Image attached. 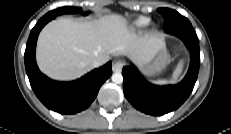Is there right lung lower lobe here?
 I'll return each instance as SVG.
<instances>
[{"instance_id": "1", "label": "right lung lower lobe", "mask_w": 231, "mask_h": 134, "mask_svg": "<svg viewBox=\"0 0 231 134\" xmlns=\"http://www.w3.org/2000/svg\"><path fill=\"white\" fill-rule=\"evenodd\" d=\"M52 19L43 16L31 30L24 55L25 68L34 93L48 109L60 114H74L86 109L94 101L102 84L111 76L112 65L108 62L70 82L51 80L43 75L36 64V42L43 26Z\"/></svg>"}]
</instances>
